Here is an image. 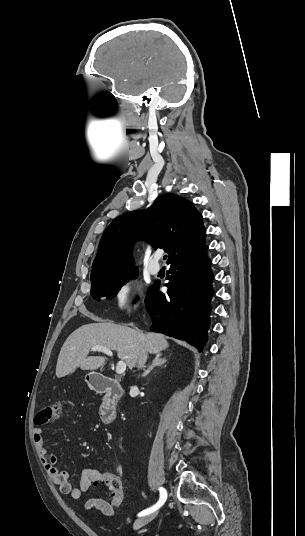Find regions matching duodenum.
Listing matches in <instances>:
<instances>
[{"label": "duodenum", "instance_id": "duodenum-1", "mask_svg": "<svg viewBox=\"0 0 305 536\" xmlns=\"http://www.w3.org/2000/svg\"><path fill=\"white\" fill-rule=\"evenodd\" d=\"M91 385L96 392L103 394L100 406L101 421L106 425L114 423L117 418V403L122 396L120 384L115 378L96 375Z\"/></svg>", "mask_w": 305, "mask_h": 536}]
</instances>
